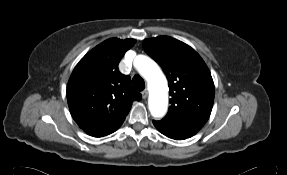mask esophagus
<instances>
[{
  "label": "esophagus",
  "mask_w": 287,
  "mask_h": 175,
  "mask_svg": "<svg viewBox=\"0 0 287 175\" xmlns=\"http://www.w3.org/2000/svg\"><path fill=\"white\" fill-rule=\"evenodd\" d=\"M148 96V92L146 90L142 91V98L145 100Z\"/></svg>",
  "instance_id": "34e87169"
}]
</instances>
